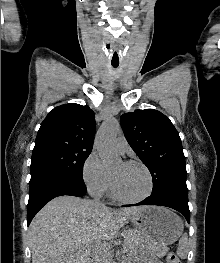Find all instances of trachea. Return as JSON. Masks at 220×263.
I'll return each mask as SVG.
<instances>
[{"instance_id": "3493384b", "label": "trachea", "mask_w": 220, "mask_h": 263, "mask_svg": "<svg viewBox=\"0 0 220 263\" xmlns=\"http://www.w3.org/2000/svg\"><path fill=\"white\" fill-rule=\"evenodd\" d=\"M114 68H117L118 67V65H112Z\"/></svg>"}]
</instances>
